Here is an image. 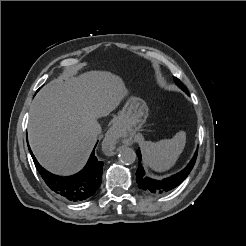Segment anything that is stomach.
<instances>
[{"instance_id":"0dacf381","label":"stomach","mask_w":246,"mask_h":246,"mask_svg":"<svg viewBox=\"0 0 246 246\" xmlns=\"http://www.w3.org/2000/svg\"><path fill=\"white\" fill-rule=\"evenodd\" d=\"M147 117L148 107L145 101L139 97L132 96L119 113L116 124L127 135H132L143 126Z\"/></svg>"}]
</instances>
